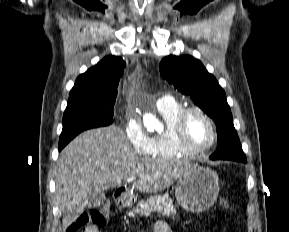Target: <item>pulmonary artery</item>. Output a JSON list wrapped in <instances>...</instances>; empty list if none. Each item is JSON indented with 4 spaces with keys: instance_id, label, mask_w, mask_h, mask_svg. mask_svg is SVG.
Listing matches in <instances>:
<instances>
[{
    "instance_id": "1",
    "label": "pulmonary artery",
    "mask_w": 289,
    "mask_h": 232,
    "mask_svg": "<svg viewBox=\"0 0 289 232\" xmlns=\"http://www.w3.org/2000/svg\"><path fill=\"white\" fill-rule=\"evenodd\" d=\"M171 99L172 98L170 96H162L157 100L156 106L157 107L163 106V105L167 104L169 101H171Z\"/></svg>"
}]
</instances>
